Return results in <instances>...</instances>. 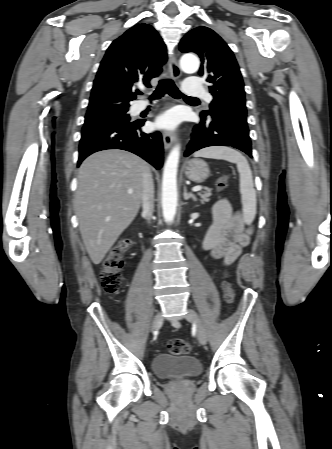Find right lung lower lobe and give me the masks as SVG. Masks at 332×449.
I'll list each match as a JSON object with an SVG mask.
<instances>
[{
    "label": "right lung lower lobe",
    "instance_id": "right-lung-lower-lobe-1",
    "mask_svg": "<svg viewBox=\"0 0 332 449\" xmlns=\"http://www.w3.org/2000/svg\"><path fill=\"white\" fill-rule=\"evenodd\" d=\"M145 120L110 121L84 126L79 144L78 166L90 154L106 149L127 150L145 159L156 169L163 164L160 132L141 131Z\"/></svg>",
    "mask_w": 332,
    "mask_h": 449
}]
</instances>
